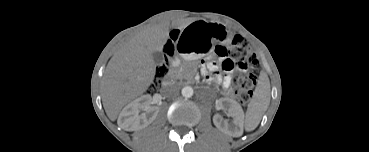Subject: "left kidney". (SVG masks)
Returning a JSON list of instances; mask_svg holds the SVG:
<instances>
[{
    "label": "left kidney",
    "mask_w": 369,
    "mask_h": 152,
    "mask_svg": "<svg viewBox=\"0 0 369 152\" xmlns=\"http://www.w3.org/2000/svg\"><path fill=\"white\" fill-rule=\"evenodd\" d=\"M219 105L223 107L226 105L228 107V111L231 113V116L236 119V121H241L244 117V113L242 107L234 100L229 98H222L219 100Z\"/></svg>",
    "instance_id": "5707ae66"
}]
</instances>
